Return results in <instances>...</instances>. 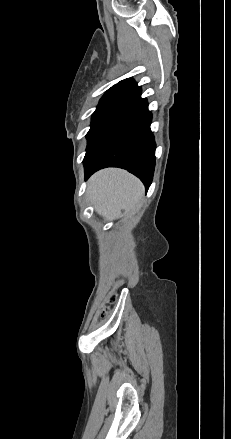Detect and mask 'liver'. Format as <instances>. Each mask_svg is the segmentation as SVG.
I'll list each match as a JSON object with an SVG mask.
<instances>
[{
    "label": "liver",
    "mask_w": 231,
    "mask_h": 439,
    "mask_svg": "<svg viewBox=\"0 0 231 439\" xmlns=\"http://www.w3.org/2000/svg\"><path fill=\"white\" fill-rule=\"evenodd\" d=\"M88 193L96 212L112 220L119 217L121 209L133 212L139 208L144 186L125 170L107 168L90 178Z\"/></svg>",
    "instance_id": "obj_1"
}]
</instances>
